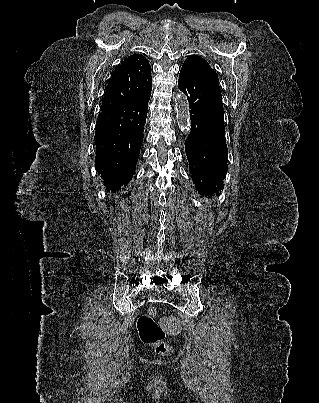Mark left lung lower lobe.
Wrapping results in <instances>:
<instances>
[{
	"label": "left lung lower lobe",
	"instance_id": "left-lung-lower-lobe-1",
	"mask_svg": "<svg viewBox=\"0 0 319 403\" xmlns=\"http://www.w3.org/2000/svg\"><path fill=\"white\" fill-rule=\"evenodd\" d=\"M178 87L188 99L191 128L185 142L196 190L209 195L223 189L227 145L221 90L218 82L182 67Z\"/></svg>",
	"mask_w": 319,
	"mask_h": 403
}]
</instances>
